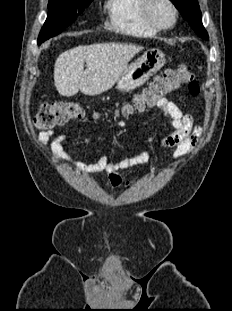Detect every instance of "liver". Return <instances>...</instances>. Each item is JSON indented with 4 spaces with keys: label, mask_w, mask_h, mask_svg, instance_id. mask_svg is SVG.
I'll return each instance as SVG.
<instances>
[{
    "label": "liver",
    "mask_w": 232,
    "mask_h": 311,
    "mask_svg": "<svg viewBox=\"0 0 232 311\" xmlns=\"http://www.w3.org/2000/svg\"><path fill=\"white\" fill-rule=\"evenodd\" d=\"M142 49L141 46L118 43L69 49L55 61V87L60 95L67 97L79 91L88 96L102 94L112 88L129 61Z\"/></svg>",
    "instance_id": "1"
}]
</instances>
